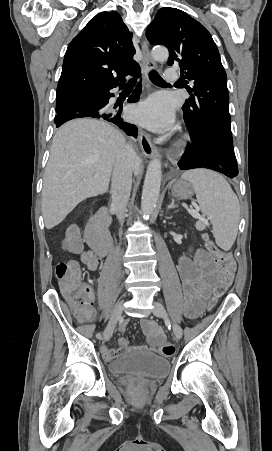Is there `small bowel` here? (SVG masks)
Masks as SVG:
<instances>
[{"label":"small bowel","instance_id":"small-bowel-1","mask_svg":"<svg viewBox=\"0 0 272 451\" xmlns=\"http://www.w3.org/2000/svg\"><path fill=\"white\" fill-rule=\"evenodd\" d=\"M80 263L84 268L93 272L96 271L102 260L93 249H83L80 247ZM215 257L209 251L197 249L193 258L181 255L177 262V271L183 286L184 300L182 303L186 315L195 317L203 307L206 292V276L208 268L214 263ZM142 327L147 333V343L131 347L125 337L119 339L118 347L114 349L103 348V356L107 361H111L120 354L128 351H151L164 342L165 336L162 330L153 322L144 320Z\"/></svg>","mask_w":272,"mask_h":451}]
</instances>
